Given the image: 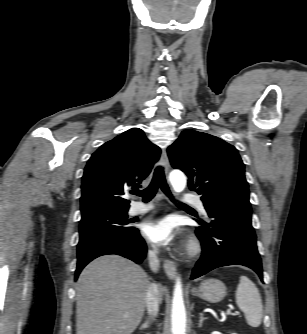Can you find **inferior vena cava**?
<instances>
[{"label":"inferior vena cava","instance_id":"obj_1","mask_svg":"<svg viewBox=\"0 0 307 334\" xmlns=\"http://www.w3.org/2000/svg\"><path fill=\"white\" fill-rule=\"evenodd\" d=\"M149 265L152 271L157 272L160 263L157 257V249L148 252ZM161 301L159 287L156 283H151L147 291L146 307L149 315L156 316L159 311V303Z\"/></svg>","mask_w":307,"mask_h":334}]
</instances>
